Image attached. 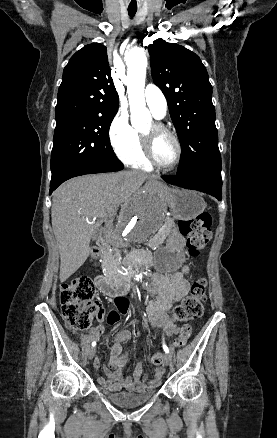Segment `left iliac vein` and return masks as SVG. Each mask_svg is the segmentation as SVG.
<instances>
[{
    "mask_svg": "<svg viewBox=\"0 0 277 438\" xmlns=\"http://www.w3.org/2000/svg\"><path fill=\"white\" fill-rule=\"evenodd\" d=\"M163 362H164L165 365H170V363H171V357H170V355H168L167 353L164 354V356H163Z\"/></svg>",
    "mask_w": 277,
    "mask_h": 438,
    "instance_id": "4c4485c4",
    "label": "left iliac vein"
}]
</instances>
